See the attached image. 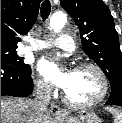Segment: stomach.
Wrapping results in <instances>:
<instances>
[{
    "label": "stomach",
    "mask_w": 122,
    "mask_h": 123,
    "mask_svg": "<svg viewBox=\"0 0 122 123\" xmlns=\"http://www.w3.org/2000/svg\"><path fill=\"white\" fill-rule=\"evenodd\" d=\"M62 123H102L101 119L92 111L82 110L77 116H66L61 118Z\"/></svg>",
    "instance_id": "stomach-1"
}]
</instances>
